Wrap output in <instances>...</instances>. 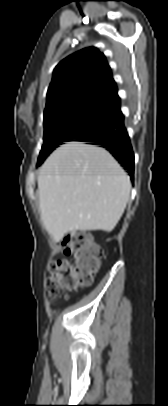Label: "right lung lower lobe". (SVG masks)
Instances as JSON below:
<instances>
[{
	"label": "right lung lower lobe",
	"mask_w": 168,
	"mask_h": 406,
	"mask_svg": "<svg viewBox=\"0 0 168 406\" xmlns=\"http://www.w3.org/2000/svg\"><path fill=\"white\" fill-rule=\"evenodd\" d=\"M114 117L103 127H100L77 141L89 142L108 150L114 158L129 172L131 178L134 173V154L130 139L123 124V114L120 111V99L111 105Z\"/></svg>",
	"instance_id": "98d812e1"
}]
</instances>
